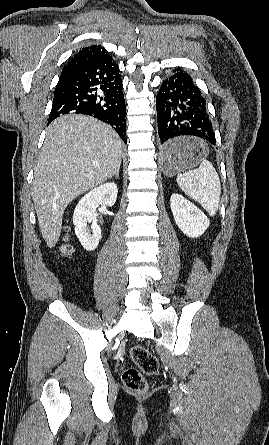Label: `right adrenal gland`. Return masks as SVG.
<instances>
[{"label": "right adrenal gland", "mask_w": 269, "mask_h": 445, "mask_svg": "<svg viewBox=\"0 0 269 445\" xmlns=\"http://www.w3.org/2000/svg\"><path fill=\"white\" fill-rule=\"evenodd\" d=\"M119 169H120V166H118L117 170H116L115 173L112 175V177H113V176H115L116 178L119 177Z\"/></svg>", "instance_id": "2a0ac1e0"}]
</instances>
